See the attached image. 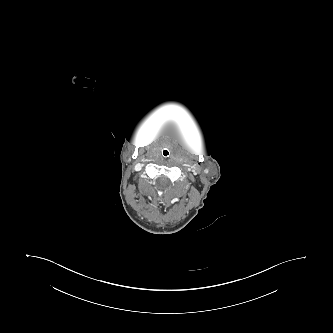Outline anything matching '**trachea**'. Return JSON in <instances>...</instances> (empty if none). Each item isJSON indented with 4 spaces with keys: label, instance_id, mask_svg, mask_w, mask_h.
Instances as JSON below:
<instances>
[{
    "label": "trachea",
    "instance_id": "1",
    "mask_svg": "<svg viewBox=\"0 0 333 333\" xmlns=\"http://www.w3.org/2000/svg\"><path fill=\"white\" fill-rule=\"evenodd\" d=\"M163 154H164V156H167L169 154V152L167 150H164Z\"/></svg>",
    "mask_w": 333,
    "mask_h": 333
}]
</instances>
